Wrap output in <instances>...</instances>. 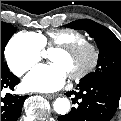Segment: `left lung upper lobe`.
<instances>
[{"instance_id":"1","label":"left lung upper lobe","mask_w":121,"mask_h":121,"mask_svg":"<svg viewBox=\"0 0 121 121\" xmlns=\"http://www.w3.org/2000/svg\"><path fill=\"white\" fill-rule=\"evenodd\" d=\"M76 30H86L95 39L100 50L95 72L80 81L102 80L121 88V42L106 27L90 20L82 19L66 25Z\"/></svg>"}]
</instances>
